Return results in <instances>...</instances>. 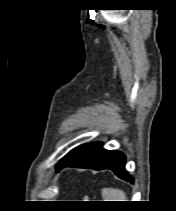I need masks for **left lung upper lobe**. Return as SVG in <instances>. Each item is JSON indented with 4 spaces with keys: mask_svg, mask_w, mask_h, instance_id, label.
Returning a JSON list of instances; mask_svg holds the SVG:
<instances>
[{
    "mask_svg": "<svg viewBox=\"0 0 176 211\" xmlns=\"http://www.w3.org/2000/svg\"><path fill=\"white\" fill-rule=\"evenodd\" d=\"M84 146L85 145L79 146V147L73 149L72 151H70L63 159H61V161L57 164L56 168H58L64 161L70 159L71 157L76 155L78 152H80Z\"/></svg>",
    "mask_w": 176,
    "mask_h": 211,
    "instance_id": "left-lung-upper-lobe-1",
    "label": "left lung upper lobe"
}]
</instances>
